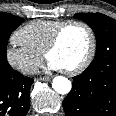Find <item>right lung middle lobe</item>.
I'll list each match as a JSON object with an SVG mask.
<instances>
[{"mask_svg":"<svg viewBox=\"0 0 116 116\" xmlns=\"http://www.w3.org/2000/svg\"><path fill=\"white\" fill-rule=\"evenodd\" d=\"M23 22V18L0 12V78L10 77L15 71L7 61V42L11 33Z\"/></svg>","mask_w":116,"mask_h":116,"instance_id":"1","label":"right lung middle lobe"}]
</instances>
